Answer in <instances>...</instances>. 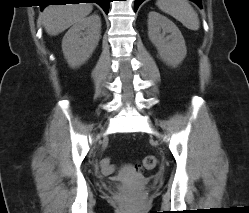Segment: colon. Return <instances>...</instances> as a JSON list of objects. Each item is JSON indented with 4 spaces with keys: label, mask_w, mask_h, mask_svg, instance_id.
Segmentation results:
<instances>
[{
    "label": "colon",
    "mask_w": 249,
    "mask_h": 213,
    "mask_svg": "<svg viewBox=\"0 0 249 213\" xmlns=\"http://www.w3.org/2000/svg\"><path fill=\"white\" fill-rule=\"evenodd\" d=\"M156 165H157V158L154 155H147L146 157H144L142 159L141 163H139L136 166L135 170H136V172L139 173V172H142L143 170H151V169L155 168ZM101 167L105 173H112L114 171V167L111 164L109 158H104L101 161ZM125 202L130 203L131 200L126 198Z\"/></svg>",
    "instance_id": "colon-1"
}]
</instances>
